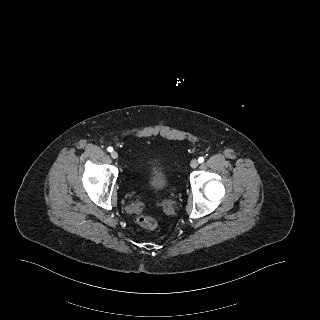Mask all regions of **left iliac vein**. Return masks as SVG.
<instances>
[{
  "label": "left iliac vein",
  "mask_w": 320,
  "mask_h": 320,
  "mask_svg": "<svg viewBox=\"0 0 320 320\" xmlns=\"http://www.w3.org/2000/svg\"><path fill=\"white\" fill-rule=\"evenodd\" d=\"M198 165H199V163H198V160H196V159H193V160L190 162V166H191L192 168H196Z\"/></svg>",
  "instance_id": "left-iliac-vein-1"
}]
</instances>
